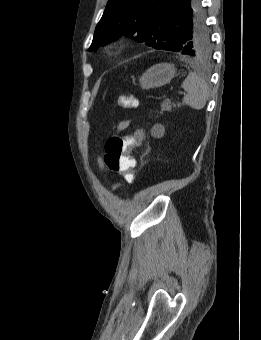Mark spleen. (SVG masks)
Here are the masks:
<instances>
[{"mask_svg": "<svg viewBox=\"0 0 261 340\" xmlns=\"http://www.w3.org/2000/svg\"><path fill=\"white\" fill-rule=\"evenodd\" d=\"M181 86L187 92L183 103L195 110L203 109L209 98L208 84L195 72H190Z\"/></svg>", "mask_w": 261, "mask_h": 340, "instance_id": "spleen-1", "label": "spleen"}]
</instances>
